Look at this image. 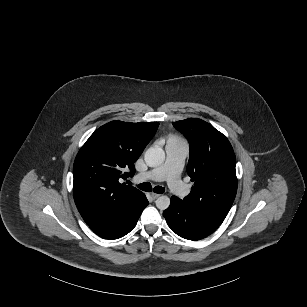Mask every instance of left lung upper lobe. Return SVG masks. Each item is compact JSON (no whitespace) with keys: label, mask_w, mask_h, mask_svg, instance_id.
Instances as JSON below:
<instances>
[{"label":"left lung upper lobe","mask_w":307,"mask_h":307,"mask_svg":"<svg viewBox=\"0 0 307 307\" xmlns=\"http://www.w3.org/2000/svg\"><path fill=\"white\" fill-rule=\"evenodd\" d=\"M190 144L187 173L194 181L184 203L202 218L220 225L237 191L236 158L228 139L197 118L173 123Z\"/></svg>","instance_id":"obj_1"}]
</instances>
